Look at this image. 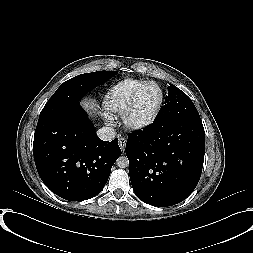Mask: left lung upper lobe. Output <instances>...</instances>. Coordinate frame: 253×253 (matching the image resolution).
<instances>
[{
  "label": "left lung upper lobe",
  "mask_w": 253,
  "mask_h": 253,
  "mask_svg": "<svg viewBox=\"0 0 253 253\" xmlns=\"http://www.w3.org/2000/svg\"><path fill=\"white\" fill-rule=\"evenodd\" d=\"M198 117L199 113L191 99L176 86L169 84L165 105L161 107L154 123H160L175 118Z\"/></svg>",
  "instance_id": "1"
}]
</instances>
